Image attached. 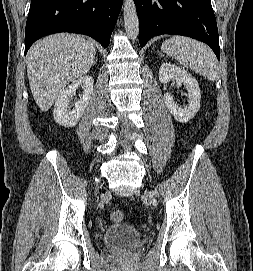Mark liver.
Wrapping results in <instances>:
<instances>
[{"label": "liver", "mask_w": 253, "mask_h": 271, "mask_svg": "<svg viewBox=\"0 0 253 271\" xmlns=\"http://www.w3.org/2000/svg\"><path fill=\"white\" fill-rule=\"evenodd\" d=\"M92 42L69 33L47 36L27 54L29 86L38 107L48 111L66 85L88 73L95 63Z\"/></svg>", "instance_id": "6515ba94"}]
</instances>
